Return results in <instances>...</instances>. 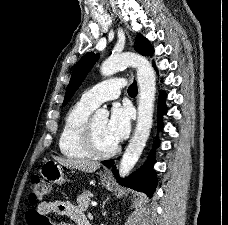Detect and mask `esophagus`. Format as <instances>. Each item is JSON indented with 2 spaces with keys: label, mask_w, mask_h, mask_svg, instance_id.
Instances as JSON below:
<instances>
[{
  "label": "esophagus",
  "mask_w": 228,
  "mask_h": 225,
  "mask_svg": "<svg viewBox=\"0 0 228 225\" xmlns=\"http://www.w3.org/2000/svg\"><path fill=\"white\" fill-rule=\"evenodd\" d=\"M104 174L106 175V176H111V171L110 170H107V169H105L104 170Z\"/></svg>",
  "instance_id": "obj_1"
}]
</instances>
